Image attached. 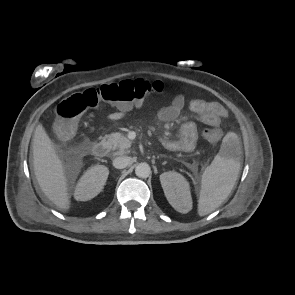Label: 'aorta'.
Returning <instances> with one entry per match:
<instances>
[{
	"instance_id": "aorta-1",
	"label": "aorta",
	"mask_w": 295,
	"mask_h": 295,
	"mask_svg": "<svg viewBox=\"0 0 295 295\" xmlns=\"http://www.w3.org/2000/svg\"><path fill=\"white\" fill-rule=\"evenodd\" d=\"M151 173V168L147 163H140L135 168V174L139 178H147Z\"/></svg>"
}]
</instances>
